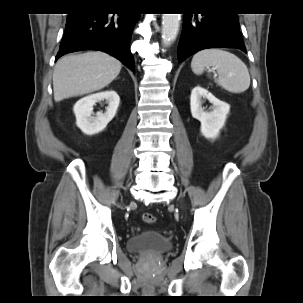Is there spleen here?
<instances>
[{
    "mask_svg": "<svg viewBox=\"0 0 303 303\" xmlns=\"http://www.w3.org/2000/svg\"><path fill=\"white\" fill-rule=\"evenodd\" d=\"M215 67L217 84L231 93H242L250 86L247 66L236 55L217 48L199 51L193 56L192 71L201 75L206 67Z\"/></svg>",
    "mask_w": 303,
    "mask_h": 303,
    "instance_id": "obj_1",
    "label": "spleen"
}]
</instances>
